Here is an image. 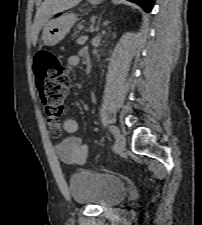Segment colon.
<instances>
[{"label":"colon","mask_w":202,"mask_h":225,"mask_svg":"<svg viewBox=\"0 0 202 225\" xmlns=\"http://www.w3.org/2000/svg\"><path fill=\"white\" fill-rule=\"evenodd\" d=\"M33 66L47 125L53 136H59L62 102L70 88L68 73L60 58L49 51L39 53L34 59Z\"/></svg>","instance_id":"5ec220e1"}]
</instances>
